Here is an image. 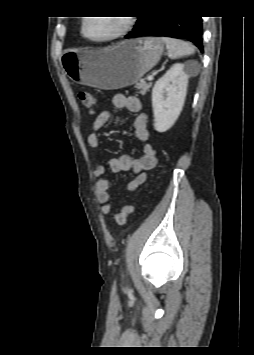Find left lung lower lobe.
<instances>
[{
    "label": "left lung lower lobe",
    "mask_w": 254,
    "mask_h": 355,
    "mask_svg": "<svg viewBox=\"0 0 254 355\" xmlns=\"http://www.w3.org/2000/svg\"><path fill=\"white\" fill-rule=\"evenodd\" d=\"M133 31L125 38L137 36H167L187 39L193 42L201 51L202 19L200 16H141Z\"/></svg>",
    "instance_id": "obj_1"
}]
</instances>
